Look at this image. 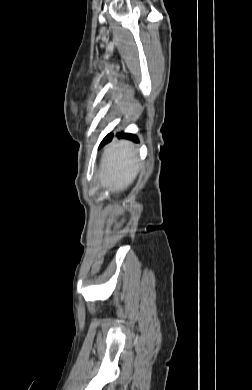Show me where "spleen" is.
I'll list each match as a JSON object with an SVG mask.
<instances>
[{"label": "spleen", "instance_id": "obj_1", "mask_svg": "<svg viewBox=\"0 0 252 390\" xmlns=\"http://www.w3.org/2000/svg\"><path fill=\"white\" fill-rule=\"evenodd\" d=\"M138 174L136 152L128 143L112 145L106 150L101 164L102 186L120 192L133 183Z\"/></svg>", "mask_w": 252, "mask_h": 390}]
</instances>
